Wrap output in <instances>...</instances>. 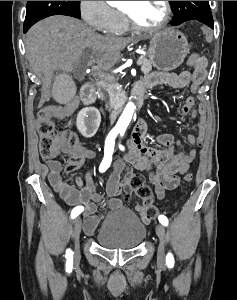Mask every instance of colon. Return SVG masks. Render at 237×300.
Returning a JSON list of instances; mask_svg holds the SVG:
<instances>
[{
	"label": "colon",
	"mask_w": 237,
	"mask_h": 300,
	"mask_svg": "<svg viewBox=\"0 0 237 300\" xmlns=\"http://www.w3.org/2000/svg\"><path fill=\"white\" fill-rule=\"evenodd\" d=\"M204 34L208 40L212 39L211 33L207 28H203ZM206 58L193 54L188 59V65L204 64ZM51 108L45 107L38 112L37 131L40 136L39 148L40 154L45 160H53L61 154L65 147L71 149L80 148L77 136L70 130L58 131L51 122ZM84 161V157L75 156L70 158L66 165L67 172L78 170ZM192 173H186L183 177L185 181H191ZM127 186L129 190L135 193L143 201V210L145 216L154 219L158 214V209L153 203V193L151 188L146 184L142 175L127 171Z\"/></svg>",
	"instance_id": "5ec220e1"
}]
</instances>
